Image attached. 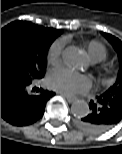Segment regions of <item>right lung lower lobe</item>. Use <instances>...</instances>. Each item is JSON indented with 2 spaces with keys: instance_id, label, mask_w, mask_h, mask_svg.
<instances>
[{
  "instance_id": "obj_1",
  "label": "right lung lower lobe",
  "mask_w": 122,
  "mask_h": 154,
  "mask_svg": "<svg viewBox=\"0 0 122 154\" xmlns=\"http://www.w3.org/2000/svg\"><path fill=\"white\" fill-rule=\"evenodd\" d=\"M32 81L10 73L1 66V117L15 126H26L36 122L44 114L47 101L54 92L30 91ZM39 89L36 90L38 92Z\"/></svg>"
}]
</instances>
